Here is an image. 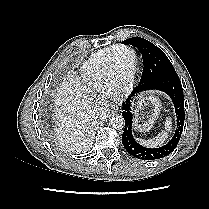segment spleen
Instances as JSON below:
<instances>
[{"instance_id":"3e777b00","label":"spleen","mask_w":209,"mask_h":209,"mask_svg":"<svg viewBox=\"0 0 209 209\" xmlns=\"http://www.w3.org/2000/svg\"><path fill=\"white\" fill-rule=\"evenodd\" d=\"M172 130V118L168 117L165 122V130L161 131L156 137L149 140H141V143L145 146L156 147L162 145L168 138V132Z\"/></svg>"}]
</instances>
